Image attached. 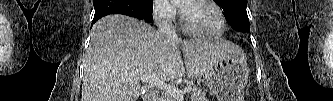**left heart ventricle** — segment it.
I'll return each instance as SVG.
<instances>
[{
	"label": "left heart ventricle",
	"instance_id": "obj_1",
	"mask_svg": "<svg viewBox=\"0 0 333 101\" xmlns=\"http://www.w3.org/2000/svg\"><path fill=\"white\" fill-rule=\"evenodd\" d=\"M183 9L191 28L201 33H214L220 27L215 9L203 2H183Z\"/></svg>",
	"mask_w": 333,
	"mask_h": 101
}]
</instances>
